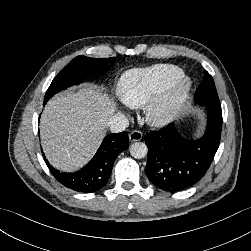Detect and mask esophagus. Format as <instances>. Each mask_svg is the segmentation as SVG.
Returning <instances> with one entry per match:
<instances>
[{
  "label": "esophagus",
  "instance_id": "1",
  "mask_svg": "<svg viewBox=\"0 0 251 251\" xmlns=\"http://www.w3.org/2000/svg\"><path fill=\"white\" fill-rule=\"evenodd\" d=\"M143 137L142 133L138 130H134L129 134V140L131 142L139 141Z\"/></svg>",
  "mask_w": 251,
  "mask_h": 251
}]
</instances>
